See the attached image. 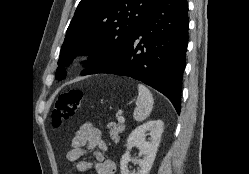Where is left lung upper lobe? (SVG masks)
Segmentation results:
<instances>
[{
  "label": "left lung upper lobe",
  "mask_w": 249,
  "mask_h": 174,
  "mask_svg": "<svg viewBox=\"0 0 249 174\" xmlns=\"http://www.w3.org/2000/svg\"><path fill=\"white\" fill-rule=\"evenodd\" d=\"M157 0H81L66 32L55 78L66 76V64L73 57L90 55L82 75L112 66L139 32Z\"/></svg>",
  "instance_id": "5c2ea615"
}]
</instances>
